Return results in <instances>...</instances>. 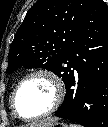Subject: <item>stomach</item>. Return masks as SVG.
<instances>
[{
  "label": "stomach",
  "instance_id": "1",
  "mask_svg": "<svg viewBox=\"0 0 108 127\" xmlns=\"http://www.w3.org/2000/svg\"><path fill=\"white\" fill-rule=\"evenodd\" d=\"M38 127H70V126H68V124L64 122L55 121L49 126H38Z\"/></svg>",
  "mask_w": 108,
  "mask_h": 127
}]
</instances>
